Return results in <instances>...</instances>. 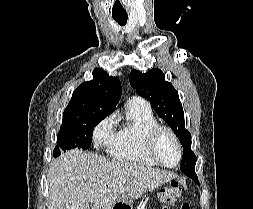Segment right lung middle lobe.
<instances>
[{
	"instance_id": "1",
	"label": "right lung middle lobe",
	"mask_w": 253,
	"mask_h": 209,
	"mask_svg": "<svg viewBox=\"0 0 253 209\" xmlns=\"http://www.w3.org/2000/svg\"><path fill=\"white\" fill-rule=\"evenodd\" d=\"M104 118V115L91 113L62 122L53 156H59L63 150L88 149L92 142L93 128Z\"/></svg>"
}]
</instances>
